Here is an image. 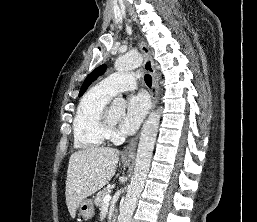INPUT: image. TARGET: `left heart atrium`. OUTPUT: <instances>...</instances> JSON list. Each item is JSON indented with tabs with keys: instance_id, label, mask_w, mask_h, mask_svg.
<instances>
[{
	"instance_id": "39dd6f15",
	"label": "left heart atrium",
	"mask_w": 257,
	"mask_h": 222,
	"mask_svg": "<svg viewBox=\"0 0 257 222\" xmlns=\"http://www.w3.org/2000/svg\"><path fill=\"white\" fill-rule=\"evenodd\" d=\"M148 109L149 101L144 94L129 97L125 115L120 123L121 130L124 133H133L140 126Z\"/></svg>"
}]
</instances>
